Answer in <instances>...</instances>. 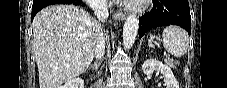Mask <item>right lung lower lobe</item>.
<instances>
[{"label": "right lung lower lobe", "instance_id": "right-lung-lower-lobe-1", "mask_svg": "<svg viewBox=\"0 0 227 88\" xmlns=\"http://www.w3.org/2000/svg\"><path fill=\"white\" fill-rule=\"evenodd\" d=\"M56 3H67V4H74V5H81V0H33L32 6V20L36 13L40 11L42 8Z\"/></svg>", "mask_w": 227, "mask_h": 88}]
</instances>
